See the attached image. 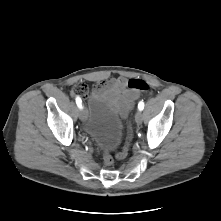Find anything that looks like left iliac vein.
I'll return each mask as SVG.
<instances>
[{
    "label": "left iliac vein",
    "instance_id": "4c4485c4",
    "mask_svg": "<svg viewBox=\"0 0 221 221\" xmlns=\"http://www.w3.org/2000/svg\"><path fill=\"white\" fill-rule=\"evenodd\" d=\"M143 120V113L141 110H138L135 114V121L137 124H141Z\"/></svg>",
    "mask_w": 221,
    "mask_h": 221
}]
</instances>
